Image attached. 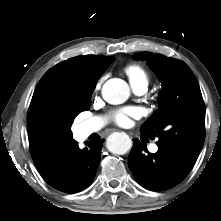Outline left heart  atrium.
<instances>
[{
  "label": "left heart atrium",
  "mask_w": 221,
  "mask_h": 221,
  "mask_svg": "<svg viewBox=\"0 0 221 221\" xmlns=\"http://www.w3.org/2000/svg\"><path fill=\"white\" fill-rule=\"evenodd\" d=\"M139 115L138 109L134 107L124 108L113 113V120L117 125L126 126L130 123L131 117Z\"/></svg>",
  "instance_id": "obj_1"
}]
</instances>
